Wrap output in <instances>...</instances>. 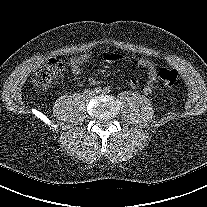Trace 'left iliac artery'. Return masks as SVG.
Wrapping results in <instances>:
<instances>
[{"label": "left iliac artery", "mask_w": 207, "mask_h": 207, "mask_svg": "<svg viewBox=\"0 0 207 207\" xmlns=\"http://www.w3.org/2000/svg\"><path fill=\"white\" fill-rule=\"evenodd\" d=\"M109 92H110L109 88L106 87V88L103 89L104 94H108Z\"/></svg>", "instance_id": "left-iliac-artery-1"}]
</instances>
